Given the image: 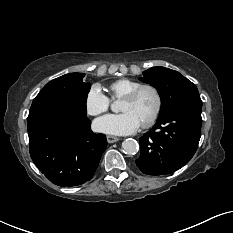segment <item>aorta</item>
I'll return each mask as SVG.
<instances>
[{"label": "aorta", "mask_w": 233, "mask_h": 233, "mask_svg": "<svg viewBox=\"0 0 233 233\" xmlns=\"http://www.w3.org/2000/svg\"><path fill=\"white\" fill-rule=\"evenodd\" d=\"M112 111H118V106L116 103L111 105ZM122 149L128 155H134L139 150V144L135 139L128 138L122 142Z\"/></svg>", "instance_id": "1"}]
</instances>
